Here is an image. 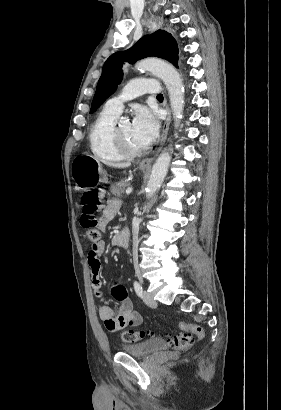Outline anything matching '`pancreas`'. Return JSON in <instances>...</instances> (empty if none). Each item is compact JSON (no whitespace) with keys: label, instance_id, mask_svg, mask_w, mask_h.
Listing matches in <instances>:
<instances>
[{"label":"pancreas","instance_id":"1","mask_svg":"<svg viewBox=\"0 0 281 410\" xmlns=\"http://www.w3.org/2000/svg\"><path fill=\"white\" fill-rule=\"evenodd\" d=\"M130 186V182L125 179L117 182L111 186V193L117 197L122 196L126 191V188Z\"/></svg>","mask_w":281,"mask_h":410}]
</instances>
